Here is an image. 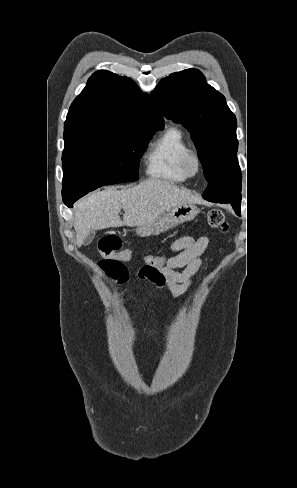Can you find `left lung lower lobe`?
Here are the masks:
<instances>
[{
    "instance_id": "obj_1",
    "label": "left lung lower lobe",
    "mask_w": 297,
    "mask_h": 488,
    "mask_svg": "<svg viewBox=\"0 0 297 488\" xmlns=\"http://www.w3.org/2000/svg\"><path fill=\"white\" fill-rule=\"evenodd\" d=\"M236 213H237L238 215H240V211H239V210H237V211H236Z\"/></svg>"
}]
</instances>
